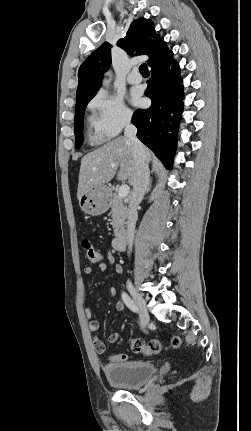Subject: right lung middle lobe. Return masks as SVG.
Listing matches in <instances>:
<instances>
[{"mask_svg":"<svg viewBox=\"0 0 251 431\" xmlns=\"http://www.w3.org/2000/svg\"><path fill=\"white\" fill-rule=\"evenodd\" d=\"M96 93L77 98L75 106V145L79 148L83 143V122L84 112L88 102L95 96Z\"/></svg>","mask_w":251,"mask_h":431,"instance_id":"right-lung-middle-lobe-1","label":"right lung middle lobe"}]
</instances>
